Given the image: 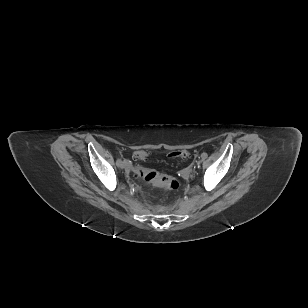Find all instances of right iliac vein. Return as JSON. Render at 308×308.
Instances as JSON below:
<instances>
[{
	"label": "right iliac vein",
	"mask_w": 308,
	"mask_h": 308,
	"mask_svg": "<svg viewBox=\"0 0 308 308\" xmlns=\"http://www.w3.org/2000/svg\"><path fill=\"white\" fill-rule=\"evenodd\" d=\"M118 167L124 169L126 167V163L121 161L120 164L118 165Z\"/></svg>",
	"instance_id": "obj_1"
}]
</instances>
